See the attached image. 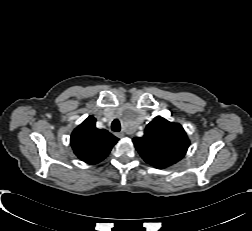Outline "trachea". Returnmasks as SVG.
Returning a JSON list of instances; mask_svg holds the SVG:
<instances>
[{
  "mask_svg": "<svg viewBox=\"0 0 252 231\" xmlns=\"http://www.w3.org/2000/svg\"><path fill=\"white\" fill-rule=\"evenodd\" d=\"M111 129H112V131H114V132H119V131L121 130V125H120V122H119L118 119H115V120L112 122Z\"/></svg>",
  "mask_w": 252,
  "mask_h": 231,
  "instance_id": "obj_1",
  "label": "trachea"
}]
</instances>
